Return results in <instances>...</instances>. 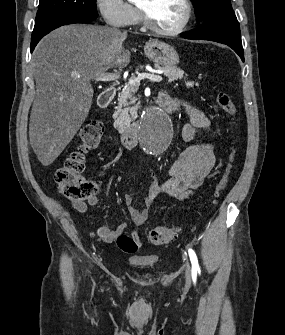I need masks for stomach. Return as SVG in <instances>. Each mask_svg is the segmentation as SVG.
<instances>
[{
  "label": "stomach",
  "instance_id": "0dacf381",
  "mask_svg": "<svg viewBox=\"0 0 285 335\" xmlns=\"http://www.w3.org/2000/svg\"><path fill=\"white\" fill-rule=\"evenodd\" d=\"M144 54L146 58L160 64V66H167V68H174L179 64V56L169 44L160 42V40H152V42H146L144 46Z\"/></svg>",
  "mask_w": 285,
  "mask_h": 335
}]
</instances>
